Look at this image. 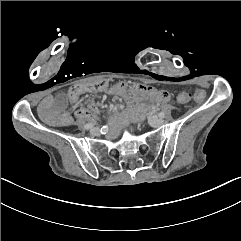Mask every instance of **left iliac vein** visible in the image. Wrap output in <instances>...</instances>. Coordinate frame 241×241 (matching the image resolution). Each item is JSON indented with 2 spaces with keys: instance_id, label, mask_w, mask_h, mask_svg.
I'll return each instance as SVG.
<instances>
[{
  "instance_id": "4c4485c4",
  "label": "left iliac vein",
  "mask_w": 241,
  "mask_h": 241,
  "mask_svg": "<svg viewBox=\"0 0 241 241\" xmlns=\"http://www.w3.org/2000/svg\"><path fill=\"white\" fill-rule=\"evenodd\" d=\"M163 123H164V120L160 119V118H153V119L149 120V124L152 127H158V126L162 125Z\"/></svg>"
}]
</instances>
